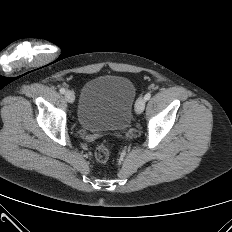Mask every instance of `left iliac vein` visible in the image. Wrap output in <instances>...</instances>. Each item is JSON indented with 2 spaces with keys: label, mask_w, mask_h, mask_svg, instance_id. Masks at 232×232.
Here are the masks:
<instances>
[{
  "label": "left iliac vein",
  "mask_w": 232,
  "mask_h": 232,
  "mask_svg": "<svg viewBox=\"0 0 232 232\" xmlns=\"http://www.w3.org/2000/svg\"><path fill=\"white\" fill-rule=\"evenodd\" d=\"M146 100L143 97H139L135 104V112L141 114L145 108Z\"/></svg>",
  "instance_id": "1"
}]
</instances>
